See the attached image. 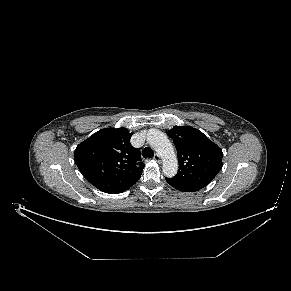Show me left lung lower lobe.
Instances as JSON below:
<instances>
[{"label":"left lung lower lobe","instance_id":"0a47b994","mask_svg":"<svg viewBox=\"0 0 291 291\" xmlns=\"http://www.w3.org/2000/svg\"><path fill=\"white\" fill-rule=\"evenodd\" d=\"M166 181L175 189L183 192H195L201 190L207 185L203 183H179L174 181L172 178H166Z\"/></svg>","mask_w":291,"mask_h":291}]
</instances>
